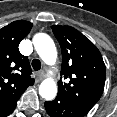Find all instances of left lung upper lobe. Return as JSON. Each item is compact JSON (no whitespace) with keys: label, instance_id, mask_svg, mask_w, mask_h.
I'll use <instances>...</instances> for the list:
<instances>
[{"label":"left lung upper lobe","instance_id":"obj_1","mask_svg":"<svg viewBox=\"0 0 117 117\" xmlns=\"http://www.w3.org/2000/svg\"><path fill=\"white\" fill-rule=\"evenodd\" d=\"M52 31L62 49L58 96L89 112L100 99L105 85L106 68L97 47L70 26L53 25Z\"/></svg>","mask_w":117,"mask_h":117}]
</instances>
